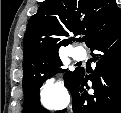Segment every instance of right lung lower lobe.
Wrapping results in <instances>:
<instances>
[{"label":"right lung lower lobe","instance_id":"98d812e1","mask_svg":"<svg viewBox=\"0 0 121 113\" xmlns=\"http://www.w3.org/2000/svg\"><path fill=\"white\" fill-rule=\"evenodd\" d=\"M97 62L94 75L75 69L67 83L74 113H121V28L90 47ZM92 82L94 94L88 93ZM65 110L59 111L63 113Z\"/></svg>","mask_w":121,"mask_h":113}]
</instances>
